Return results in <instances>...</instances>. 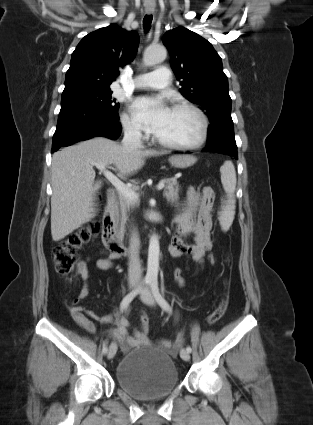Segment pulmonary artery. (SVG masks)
I'll list each match as a JSON object with an SVG mask.
<instances>
[{
  "label": "pulmonary artery",
  "instance_id": "pulmonary-artery-1",
  "mask_svg": "<svg viewBox=\"0 0 313 425\" xmlns=\"http://www.w3.org/2000/svg\"><path fill=\"white\" fill-rule=\"evenodd\" d=\"M171 73L167 67H159L150 73L138 75L134 79L137 88L163 89L170 83Z\"/></svg>",
  "mask_w": 313,
  "mask_h": 425
}]
</instances>
